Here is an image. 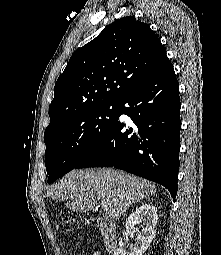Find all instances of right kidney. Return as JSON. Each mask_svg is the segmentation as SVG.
Segmentation results:
<instances>
[{
    "label": "right kidney",
    "instance_id": "ca27d5eb",
    "mask_svg": "<svg viewBox=\"0 0 221 255\" xmlns=\"http://www.w3.org/2000/svg\"><path fill=\"white\" fill-rule=\"evenodd\" d=\"M157 221V209L153 205L145 203L136 208L127 218L125 228L128 233L132 234L137 230L136 225L143 223L142 233L137 235L130 253L120 247L114 251L113 255H143L155 237Z\"/></svg>",
    "mask_w": 221,
    "mask_h": 255
}]
</instances>
